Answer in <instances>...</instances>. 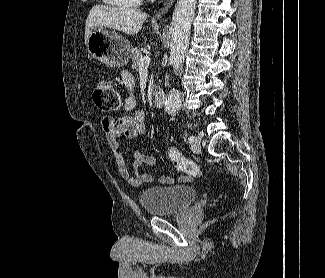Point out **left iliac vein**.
Returning <instances> with one entry per match:
<instances>
[{
  "mask_svg": "<svg viewBox=\"0 0 325 278\" xmlns=\"http://www.w3.org/2000/svg\"><path fill=\"white\" fill-rule=\"evenodd\" d=\"M201 141L199 138H196V141L192 144V151L196 154H199L201 152Z\"/></svg>",
  "mask_w": 325,
  "mask_h": 278,
  "instance_id": "4c4485c4",
  "label": "left iliac vein"
}]
</instances>
